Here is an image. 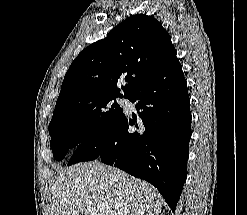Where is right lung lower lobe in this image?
Wrapping results in <instances>:
<instances>
[{
    "instance_id": "right-lung-lower-lobe-1",
    "label": "right lung lower lobe",
    "mask_w": 247,
    "mask_h": 215,
    "mask_svg": "<svg viewBox=\"0 0 247 215\" xmlns=\"http://www.w3.org/2000/svg\"><path fill=\"white\" fill-rule=\"evenodd\" d=\"M127 98L135 104L138 119L133 113L128 120L122 113L102 132L81 142L68 165L100 158L150 182L174 212L187 177L192 118L175 49Z\"/></svg>"
}]
</instances>
